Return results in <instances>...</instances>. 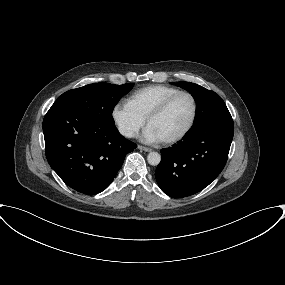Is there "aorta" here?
Instances as JSON below:
<instances>
[{"mask_svg": "<svg viewBox=\"0 0 285 285\" xmlns=\"http://www.w3.org/2000/svg\"><path fill=\"white\" fill-rule=\"evenodd\" d=\"M147 161L152 166H157L161 161V155L158 152H150Z\"/></svg>", "mask_w": 285, "mask_h": 285, "instance_id": "aorta-1", "label": "aorta"}]
</instances>
